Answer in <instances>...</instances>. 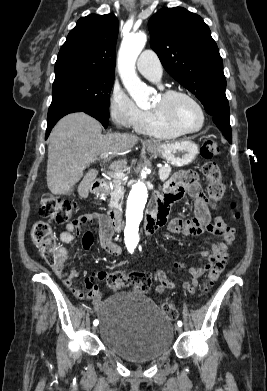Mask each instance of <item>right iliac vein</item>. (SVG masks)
Listing matches in <instances>:
<instances>
[{"label": "right iliac vein", "instance_id": "obj_1", "mask_svg": "<svg viewBox=\"0 0 267 391\" xmlns=\"http://www.w3.org/2000/svg\"><path fill=\"white\" fill-rule=\"evenodd\" d=\"M92 330L95 332L97 330V327L96 326L93 327Z\"/></svg>", "mask_w": 267, "mask_h": 391}]
</instances>
